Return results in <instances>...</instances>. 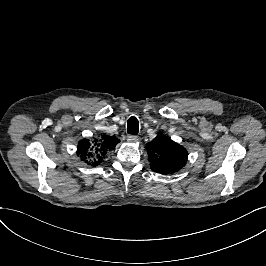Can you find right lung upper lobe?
<instances>
[{
	"label": "right lung upper lobe",
	"mask_w": 266,
	"mask_h": 266,
	"mask_svg": "<svg viewBox=\"0 0 266 266\" xmlns=\"http://www.w3.org/2000/svg\"><path fill=\"white\" fill-rule=\"evenodd\" d=\"M120 142L115 136L102 135L99 139L95 138L92 144L87 139H82L78 143L77 154L81 157V160L88 163V159L92 162V165H99L104 155L115 148ZM91 164V163H88Z\"/></svg>",
	"instance_id": "obj_1"
}]
</instances>
